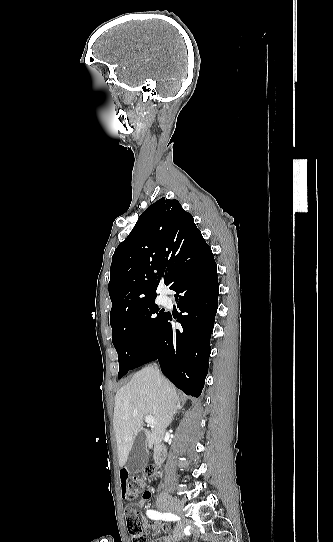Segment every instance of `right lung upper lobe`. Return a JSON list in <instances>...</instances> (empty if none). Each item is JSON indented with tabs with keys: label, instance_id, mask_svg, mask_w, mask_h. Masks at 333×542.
<instances>
[{
	"label": "right lung upper lobe",
	"instance_id": "cb5924a9",
	"mask_svg": "<svg viewBox=\"0 0 333 542\" xmlns=\"http://www.w3.org/2000/svg\"><path fill=\"white\" fill-rule=\"evenodd\" d=\"M201 240L192 215L177 200L161 198L149 206L113 254L110 319L153 302L162 276L171 287L178 251Z\"/></svg>",
	"mask_w": 333,
	"mask_h": 542
}]
</instances>
